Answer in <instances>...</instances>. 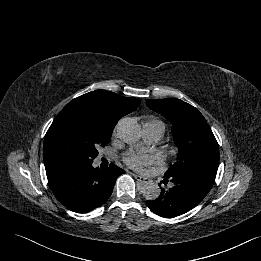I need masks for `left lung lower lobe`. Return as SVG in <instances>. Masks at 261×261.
<instances>
[{"instance_id": "obj_1", "label": "left lung lower lobe", "mask_w": 261, "mask_h": 261, "mask_svg": "<svg viewBox=\"0 0 261 261\" xmlns=\"http://www.w3.org/2000/svg\"><path fill=\"white\" fill-rule=\"evenodd\" d=\"M168 180L173 182L174 186L168 190L161 188L159 198L147 201L146 204L155 214L174 218L197 206L212 188L215 177L201 172L186 171L164 175L165 185Z\"/></svg>"}]
</instances>
